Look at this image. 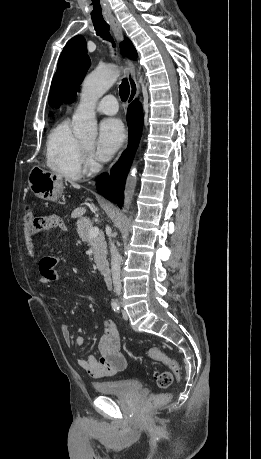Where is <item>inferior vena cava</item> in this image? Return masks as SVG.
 Returning a JSON list of instances; mask_svg holds the SVG:
<instances>
[{
	"label": "inferior vena cava",
	"mask_w": 261,
	"mask_h": 459,
	"mask_svg": "<svg viewBox=\"0 0 261 459\" xmlns=\"http://www.w3.org/2000/svg\"><path fill=\"white\" fill-rule=\"evenodd\" d=\"M110 252H111V273L114 284V291L116 295L121 294V280H120V265H121V256L117 251L116 246L110 238Z\"/></svg>",
	"instance_id": "obj_1"
}]
</instances>
